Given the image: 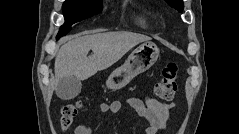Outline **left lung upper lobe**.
I'll list each match as a JSON object with an SVG mask.
<instances>
[{
	"label": "left lung upper lobe",
	"mask_w": 239,
	"mask_h": 134,
	"mask_svg": "<svg viewBox=\"0 0 239 134\" xmlns=\"http://www.w3.org/2000/svg\"><path fill=\"white\" fill-rule=\"evenodd\" d=\"M171 7L177 9L181 12L184 8V4L182 0H165Z\"/></svg>",
	"instance_id": "1"
}]
</instances>
